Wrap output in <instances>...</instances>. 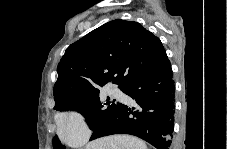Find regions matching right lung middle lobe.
<instances>
[{"instance_id":"right-lung-middle-lobe-1","label":"right lung middle lobe","mask_w":227,"mask_h":149,"mask_svg":"<svg viewBox=\"0 0 227 149\" xmlns=\"http://www.w3.org/2000/svg\"><path fill=\"white\" fill-rule=\"evenodd\" d=\"M123 91V87H120ZM100 88L95 89L85 96L80 98L68 100L64 102L60 107H55L56 110L75 109L79 111L87 120L88 125L92 130L96 129L100 124L109 119L122 105L116 103V100L110 101L107 98V102L104 105H108L106 109L103 108V104L99 98ZM54 149H65V146L61 145L57 136L53 139Z\"/></svg>"}]
</instances>
